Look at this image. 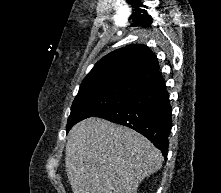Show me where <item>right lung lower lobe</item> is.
Wrapping results in <instances>:
<instances>
[{"instance_id":"right-lung-lower-lobe-1","label":"right lung lower lobe","mask_w":221,"mask_h":193,"mask_svg":"<svg viewBox=\"0 0 221 193\" xmlns=\"http://www.w3.org/2000/svg\"><path fill=\"white\" fill-rule=\"evenodd\" d=\"M96 117L141 133L162 152L166 160L172 127V107L163 79L143 86L129 101Z\"/></svg>"}]
</instances>
